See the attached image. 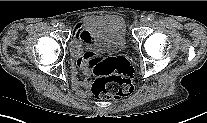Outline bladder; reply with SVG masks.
Listing matches in <instances>:
<instances>
[{
  "mask_svg": "<svg viewBox=\"0 0 207 123\" xmlns=\"http://www.w3.org/2000/svg\"><path fill=\"white\" fill-rule=\"evenodd\" d=\"M81 46L92 52H117L126 44V25L118 15H90L82 20Z\"/></svg>",
  "mask_w": 207,
  "mask_h": 123,
  "instance_id": "1",
  "label": "bladder"
}]
</instances>
